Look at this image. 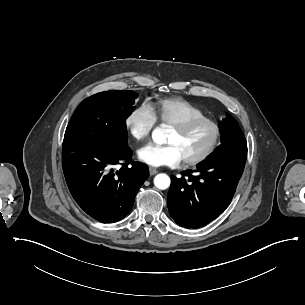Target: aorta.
Listing matches in <instances>:
<instances>
[{"label":"aorta","instance_id":"762f6f07","mask_svg":"<svg viewBox=\"0 0 305 305\" xmlns=\"http://www.w3.org/2000/svg\"><path fill=\"white\" fill-rule=\"evenodd\" d=\"M152 139L157 144H163L166 141L164 128L157 127L156 129H154L152 132ZM170 183V177L165 173H160L154 178V185L160 190H165L169 188Z\"/></svg>","mask_w":305,"mask_h":305}]
</instances>
